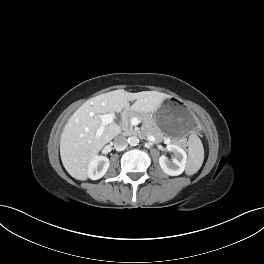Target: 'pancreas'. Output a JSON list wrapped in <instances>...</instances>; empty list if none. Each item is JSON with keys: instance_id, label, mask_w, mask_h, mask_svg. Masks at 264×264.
I'll list each match as a JSON object with an SVG mask.
<instances>
[{"instance_id": "1", "label": "pancreas", "mask_w": 264, "mask_h": 264, "mask_svg": "<svg viewBox=\"0 0 264 264\" xmlns=\"http://www.w3.org/2000/svg\"><path fill=\"white\" fill-rule=\"evenodd\" d=\"M133 117H137L145 123L147 127V134L155 136L158 140L163 139L161 130L158 128V126L154 122L146 119L141 114L133 112V111L126 112L123 116L122 129L124 130L125 134L135 133L133 126L131 125V119Z\"/></svg>"}]
</instances>
